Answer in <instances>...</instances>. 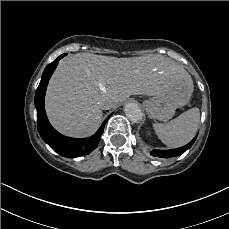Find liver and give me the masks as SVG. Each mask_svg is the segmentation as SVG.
<instances>
[{"instance_id": "1", "label": "liver", "mask_w": 229, "mask_h": 229, "mask_svg": "<svg viewBox=\"0 0 229 229\" xmlns=\"http://www.w3.org/2000/svg\"><path fill=\"white\" fill-rule=\"evenodd\" d=\"M175 84L193 87L189 73L164 56L80 53L60 61L48 86L46 110L58 130L84 136L101 123L104 105L114 108L132 95L154 97Z\"/></svg>"}]
</instances>
